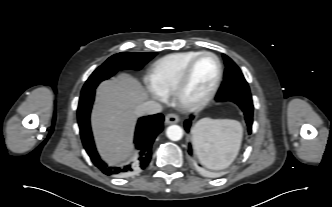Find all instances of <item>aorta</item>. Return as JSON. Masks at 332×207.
Wrapping results in <instances>:
<instances>
[{
  "instance_id": "1",
  "label": "aorta",
  "mask_w": 332,
  "mask_h": 207,
  "mask_svg": "<svg viewBox=\"0 0 332 207\" xmlns=\"http://www.w3.org/2000/svg\"><path fill=\"white\" fill-rule=\"evenodd\" d=\"M167 137L172 141H178L183 137V129L178 125H171L166 130Z\"/></svg>"
}]
</instances>
